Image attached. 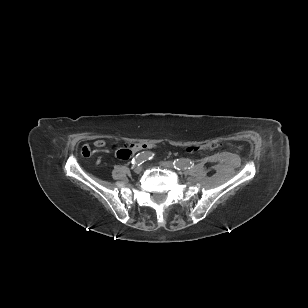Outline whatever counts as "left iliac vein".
Listing matches in <instances>:
<instances>
[{
    "label": "left iliac vein",
    "mask_w": 308,
    "mask_h": 308,
    "mask_svg": "<svg viewBox=\"0 0 308 308\" xmlns=\"http://www.w3.org/2000/svg\"><path fill=\"white\" fill-rule=\"evenodd\" d=\"M160 165L164 168H173V164L169 161H162L160 162Z\"/></svg>",
    "instance_id": "left-iliac-vein-1"
}]
</instances>
